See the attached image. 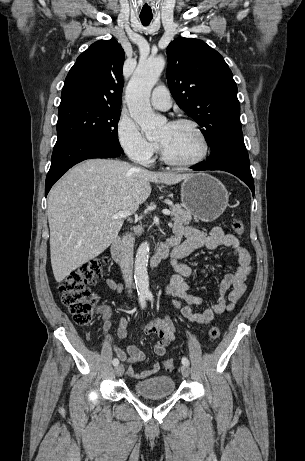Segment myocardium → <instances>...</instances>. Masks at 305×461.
<instances>
[{"instance_id":"obj_1","label":"myocardium","mask_w":305,"mask_h":461,"mask_svg":"<svg viewBox=\"0 0 305 461\" xmlns=\"http://www.w3.org/2000/svg\"><path fill=\"white\" fill-rule=\"evenodd\" d=\"M170 125H188L190 126L196 133L197 135L199 136L200 138V141H201V145H202V150H201V153L199 154V156L193 160H190V161H178V160H175L173 158H171L166 150L164 149L163 145L158 142V147H159V151H160V155H161V158L162 160L171 165V166H175V167H182V168H189V167H194L196 165H199L201 162H203L208 153H209V142H208V139H207V136L205 134V132L202 130V128L199 126V124L191 119H187V118H178V119H174L172 121L169 122Z\"/></svg>"}]
</instances>
